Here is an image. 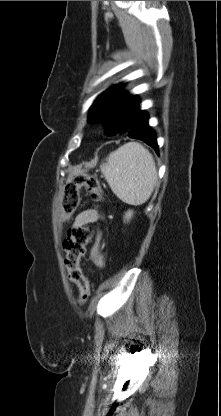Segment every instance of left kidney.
Masks as SVG:
<instances>
[{
    "label": "left kidney",
    "mask_w": 221,
    "mask_h": 416,
    "mask_svg": "<svg viewBox=\"0 0 221 416\" xmlns=\"http://www.w3.org/2000/svg\"><path fill=\"white\" fill-rule=\"evenodd\" d=\"M132 213H133L132 211H128V212L125 214V219H127V220L131 219Z\"/></svg>",
    "instance_id": "5707ae66"
}]
</instances>
